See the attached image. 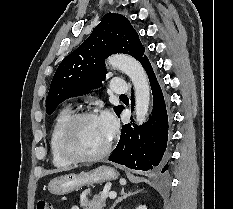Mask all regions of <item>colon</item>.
<instances>
[{
    "mask_svg": "<svg viewBox=\"0 0 233 209\" xmlns=\"http://www.w3.org/2000/svg\"><path fill=\"white\" fill-rule=\"evenodd\" d=\"M36 209H53V206L49 199L42 198L38 201Z\"/></svg>",
    "mask_w": 233,
    "mask_h": 209,
    "instance_id": "1",
    "label": "colon"
}]
</instances>
